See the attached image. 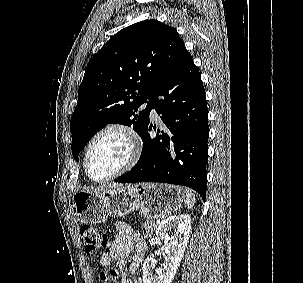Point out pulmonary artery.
<instances>
[{"label":"pulmonary artery","instance_id":"e3ab8cb5","mask_svg":"<svg viewBox=\"0 0 303 283\" xmlns=\"http://www.w3.org/2000/svg\"><path fill=\"white\" fill-rule=\"evenodd\" d=\"M146 106H147V103H144L142 105L143 108L146 107ZM151 117L154 118V119L158 118V115H157V113H156V111H155L154 108L151 109Z\"/></svg>","mask_w":303,"mask_h":283}]
</instances>
